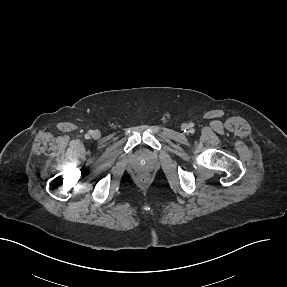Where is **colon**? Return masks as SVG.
<instances>
[{"mask_svg": "<svg viewBox=\"0 0 287 287\" xmlns=\"http://www.w3.org/2000/svg\"><path fill=\"white\" fill-rule=\"evenodd\" d=\"M147 180H148V178H147L146 175L141 174V175L139 176V181H140V182L145 183V182H147Z\"/></svg>", "mask_w": 287, "mask_h": 287, "instance_id": "obj_1", "label": "colon"}]
</instances>
